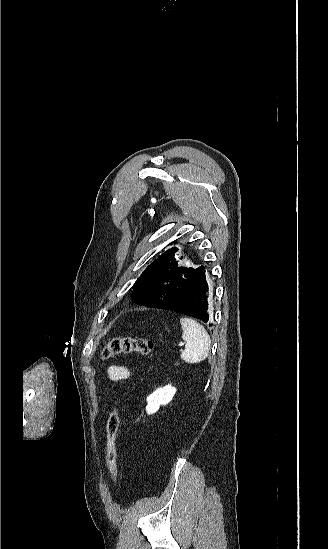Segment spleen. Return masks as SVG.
Instances as JSON below:
<instances>
[{"instance_id":"spleen-1","label":"spleen","mask_w":328,"mask_h":549,"mask_svg":"<svg viewBox=\"0 0 328 549\" xmlns=\"http://www.w3.org/2000/svg\"><path fill=\"white\" fill-rule=\"evenodd\" d=\"M182 327V339L185 341V349L181 359L185 363H201L209 355L211 339L203 325L194 319H180Z\"/></svg>"}]
</instances>
